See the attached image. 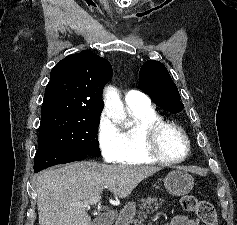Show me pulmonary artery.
I'll return each mask as SVG.
<instances>
[{
  "label": "pulmonary artery",
  "mask_w": 237,
  "mask_h": 225,
  "mask_svg": "<svg viewBox=\"0 0 237 225\" xmlns=\"http://www.w3.org/2000/svg\"><path fill=\"white\" fill-rule=\"evenodd\" d=\"M125 102L128 107L150 105L149 98L145 94L137 90H129L125 95Z\"/></svg>",
  "instance_id": "e3ab8cb5"
}]
</instances>
